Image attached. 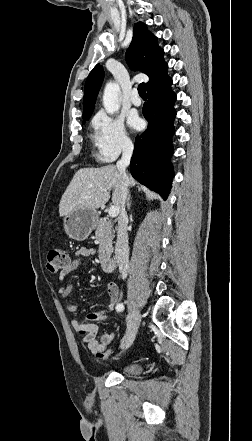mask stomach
<instances>
[{"instance_id":"0dacf381","label":"stomach","mask_w":252,"mask_h":441,"mask_svg":"<svg viewBox=\"0 0 252 441\" xmlns=\"http://www.w3.org/2000/svg\"><path fill=\"white\" fill-rule=\"evenodd\" d=\"M98 222L95 210L79 209L64 217V228L67 235L74 240H85Z\"/></svg>"}]
</instances>
